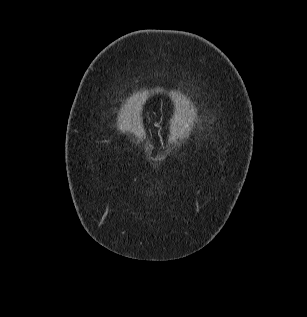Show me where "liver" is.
<instances>
[{"label":"liver","mask_w":307,"mask_h":317,"mask_svg":"<svg viewBox=\"0 0 307 317\" xmlns=\"http://www.w3.org/2000/svg\"><path fill=\"white\" fill-rule=\"evenodd\" d=\"M193 120V110H190L187 103L183 104L181 108L177 109V115L173 127L175 134L182 137L185 136V134L187 135Z\"/></svg>","instance_id":"6515ba94"}]
</instances>
